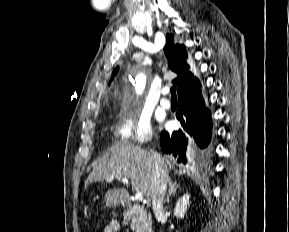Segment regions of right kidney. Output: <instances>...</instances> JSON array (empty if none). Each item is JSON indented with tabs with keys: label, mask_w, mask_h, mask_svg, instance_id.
Wrapping results in <instances>:
<instances>
[{
	"label": "right kidney",
	"mask_w": 289,
	"mask_h": 232,
	"mask_svg": "<svg viewBox=\"0 0 289 232\" xmlns=\"http://www.w3.org/2000/svg\"><path fill=\"white\" fill-rule=\"evenodd\" d=\"M189 199H190V195L189 194H185L183 195V197H181L176 205H175V209H174V215L177 218H183L185 215V212L187 210V206L189 205Z\"/></svg>",
	"instance_id": "right-kidney-1"
}]
</instances>
